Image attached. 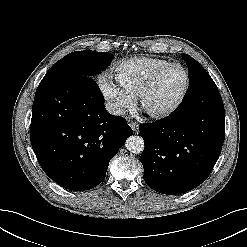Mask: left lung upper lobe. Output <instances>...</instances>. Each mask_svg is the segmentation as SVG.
<instances>
[{"instance_id": "1", "label": "left lung upper lobe", "mask_w": 247, "mask_h": 247, "mask_svg": "<svg viewBox=\"0 0 247 247\" xmlns=\"http://www.w3.org/2000/svg\"><path fill=\"white\" fill-rule=\"evenodd\" d=\"M183 59L186 61L188 66V74H189V87L183 98V102H193L195 101V92L193 86L199 81L207 80L212 78L209 74L204 70L201 64L196 61L194 58L187 54H182Z\"/></svg>"}]
</instances>
